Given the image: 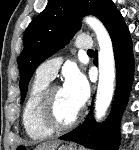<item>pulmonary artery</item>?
<instances>
[{
	"mask_svg": "<svg viewBox=\"0 0 139 150\" xmlns=\"http://www.w3.org/2000/svg\"><path fill=\"white\" fill-rule=\"evenodd\" d=\"M76 47L81 50H91L93 48V41L89 36H79L76 40ZM61 62L60 58L45 61L38 67L36 76L51 80L56 75Z\"/></svg>",
	"mask_w": 139,
	"mask_h": 150,
	"instance_id": "obj_1",
	"label": "pulmonary artery"
}]
</instances>
